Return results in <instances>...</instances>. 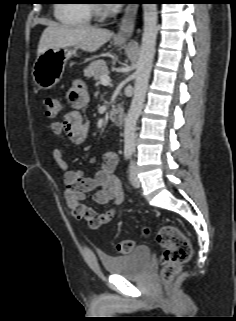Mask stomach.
<instances>
[{
    "mask_svg": "<svg viewBox=\"0 0 236 321\" xmlns=\"http://www.w3.org/2000/svg\"><path fill=\"white\" fill-rule=\"evenodd\" d=\"M122 43V41H114L115 45ZM76 52L77 48L61 46L49 48L38 55L32 71L35 84L44 90L55 86L63 75L67 61L76 55Z\"/></svg>",
    "mask_w": 236,
    "mask_h": 321,
    "instance_id": "obj_1",
    "label": "stomach"
}]
</instances>
